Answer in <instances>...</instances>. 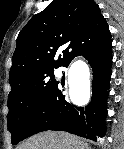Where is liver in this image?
<instances>
[{
    "label": "liver",
    "mask_w": 124,
    "mask_h": 149,
    "mask_svg": "<svg viewBox=\"0 0 124 149\" xmlns=\"http://www.w3.org/2000/svg\"><path fill=\"white\" fill-rule=\"evenodd\" d=\"M20 149H90L87 143L68 133L44 132L31 137Z\"/></svg>",
    "instance_id": "1"
}]
</instances>
